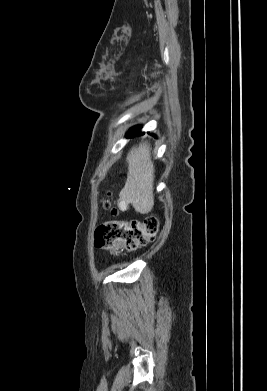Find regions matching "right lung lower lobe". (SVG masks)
Masks as SVG:
<instances>
[{
    "mask_svg": "<svg viewBox=\"0 0 267 391\" xmlns=\"http://www.w3.org/2000/svg\"><path fill=\"white\" fill-rule=\"evenodd\" d=\"M140 130V126L133 127L129 132V136L138 135Z\"/></svg>",
    "mask_w": 267,
    "mask_h": 391,
    "instance_id": "obj_1",
    "label": "right lung lower lobe"
}]
</instances>
